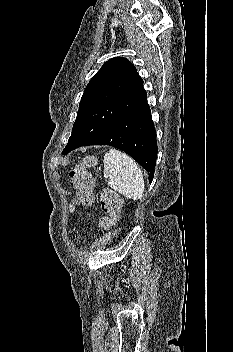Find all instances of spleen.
<instances>
[{"mask_svg": "<svg viewBox=\"0 0 233 352\" xmlns=\"http://www.w3.org/2000/svg\"><path fill=\"white\" fill-rule=\"evenodd\" d=\"M104 176L108 185L126 198L139 200L144 194V178L137 163L127 154L110 149L105 154Z\"/></svg>", "mask_w": 233, "mask_h": 352, "instance_id": "spleen-1", "label": "spleen"}]
</instances>
